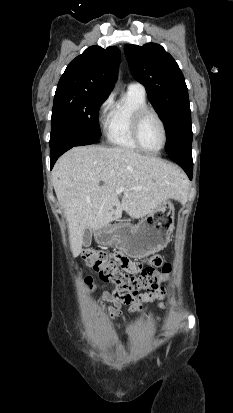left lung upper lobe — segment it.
<instances>
[{"label":"left lung upper lobe","mask_w":233,"mask_h":413,"mask_svg":"<svg viewBox=\"0 0 233 413\" xmlns=\"http://www.w3.org/2000/svg\"><path fill=\"white\" fill-rule=\"evenodd\" d=\"M125 52L134 78L165 124L168 155L192 152L191 111L184 76L173 57L156 43L127 44Z\"/></svg>","instance_id":"obj_1"}]
</instances>
